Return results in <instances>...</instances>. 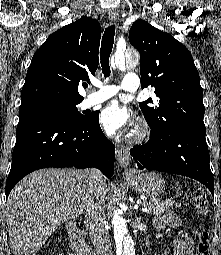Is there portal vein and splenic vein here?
Returning a JSON list of instances; mask_svg holds the SVG:
<instances>
[{"label": "portal vein and splenic vein", "mask_w": 221, "mask_h": 255, "mask_svg": "<svg viewBox=\"0 0 221 255\" xmlns=\"http://www.w3.org/2000/svg\"><path fill=\"white\" fill-rule=\"evenodd\" d=\"M139 204H140V202H137V204L134 206V208H135V209H139ZM142 211H143V212H148V208L145 207V208L142 209Z\"/></svg>", "instance_id": "portal-vein-and-splenic-vein-1"}]
</instances>
